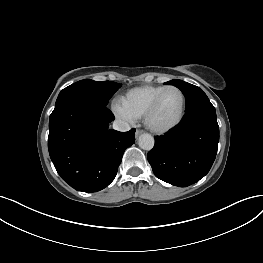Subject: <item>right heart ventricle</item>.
Listing matches in <instances>:
<instances>
[{"label":"right heart ventricle","mask_w":263,"mask_h":263,"mask_svg":"<svg viewBox=\"0 0 263 263\" xmlns=\"http://www.w3.org/2000/svg\"><path fill=\"white\" fill-rule=\"evenodd\" d=\"M165 87L162 85H146L132 88L120 99V104L135 119L141 118L152 100Z\"/></svg>","instance_id":"e07e8e85"}]
</instances>
